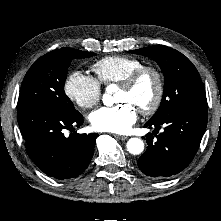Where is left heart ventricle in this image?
<instances>
[{
  "instance_id": "obj_1",
  "label": "left heart ventricle",
  "mask_w": 221,
  "mask_h": 221,
  "mask_svg": "<svg viewBox=\"0 0 221 221\" xmlns=\"http://www.w3.org/2000/svg\"><path fill=\"white\" fill-rule=\"evenodd\" d=\"M155 92V78L151 73H146L139 79L133 88L123 89L119 87L116 94V102H128L136 109L143 108L151 104Z\"/></svg>"
}]
</instances>
